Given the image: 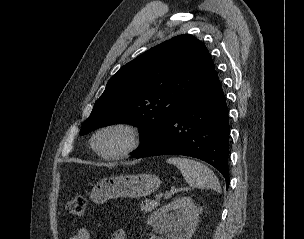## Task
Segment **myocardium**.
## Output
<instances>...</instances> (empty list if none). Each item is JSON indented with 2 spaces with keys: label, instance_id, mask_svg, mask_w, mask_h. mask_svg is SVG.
I'll list each match as a JSON object with an SVG mask.
<instances>
[{
  "label": "myocardium",
  "instance_id": "myocardium-1",
  "mask_svg": "<svg viewBox=\"0 0 304 239\" xmlns=\"http://www.w3.org/2000/svg\"><path fill=\"white\" fill-rule=\"evenodd\" d=\"M108 131H120L126 137L125 145L114 151V152H104L98 146V139L99 137ZM141 144V131L138 126L133 123L126 122V121H116L105 124L98 128L95 133L93 134L91 145L93 150L102 158L108 160H119L129 156Z\"/></svg>",
  "mask_w": 304,
  "mask_h": 239
}]
</instances>
